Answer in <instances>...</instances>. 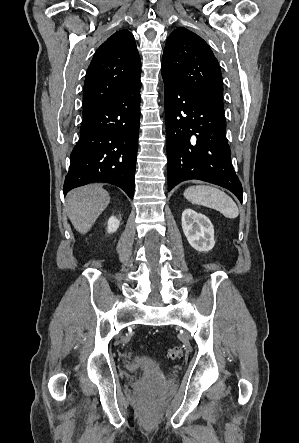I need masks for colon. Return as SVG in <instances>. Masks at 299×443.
<instances>
[{
	"instance_id": "obj_1",
	"label": "colon",
	"mask_w": 299,
	"mask_h": 443,
	"mask_svg": "<svg viewBox=\"0 0 299 443\" xmlns=\"http://www.w3.org/2000/svg\"><path fill=\"white\" fill-rule=\"evenodd\" d=\"M183 355L182 348L179 346L172 347L167 352V358L171 360H176L181 358Z\"/></svg>"
}]
</instances>
